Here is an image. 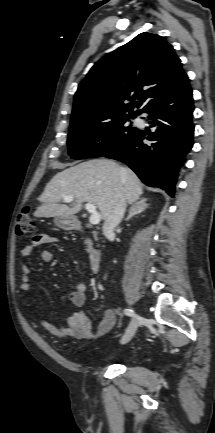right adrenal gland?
<instances>
[{
  "instance_id": "1",
  "label": "right adrenal gland",
  "mask_w": 215,
  "mask_h": 433,
  "mask_svg": "<svg viewBox=\"0 0 215 433\" xmlns=\"http://www.w3.org/2000/svg\"><path fill=\"white\" fill-rule=\"evenodd\" d=\"M146 201L147 198H141L138 202L134 203L129 210L126 221L130 220L133 216L143 212L148 207Z\"/></svg>"
}]
</instances>
